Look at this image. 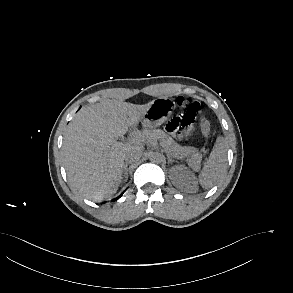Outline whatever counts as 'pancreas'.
<instances>
[{
	"mask_svg": "<svg viewBox=\"0 0 293 293\" xmlns=\"http://www.w3.org/2000/svg\"><path fill=\"white\" fill-rule=\"evenodd\" d=\"M141 134L146 136L147 141H160V144L165 151L174 158L180 159L189 157L193 164H198L201 161L202 155L194 147H183L177 144L169 135L161 129H145Z\"/></svg>",
	"mask_w": 293,
	"mask_h": 293,
	"instance_id": "cf45deb5",
	"label": "pancreas"
}]
</instances>
